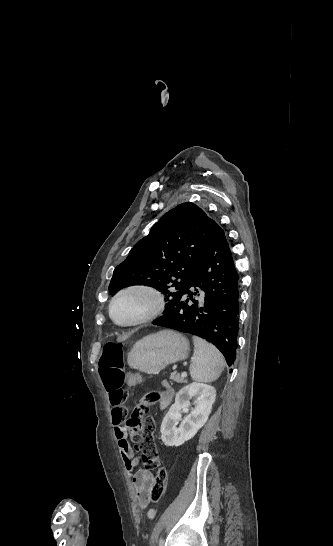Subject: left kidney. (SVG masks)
<instances>
[{
	"label": "left kidney",
	"instance_id": "obj_1",
	"mask_svg": "<svg viewBox=\"0 0 333 546\" xmlns=\"http://www.w3.org/2000/svg\"><path fill=\"white\" fill-rule=\"evenodd\" d=\"M194 398L195 407L182 420L181 411L189 408L190 400ZM216 398V390L207 384L191 383L183 387L175 397L161 424V438L166 446H180L193 438L198 430L207 422Z\"/></svg>",
	"mask_w": 333,
	"mask_h": 546
}]
</instances>
